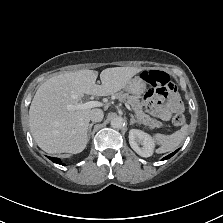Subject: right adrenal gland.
I'll list each match as a JSON object with an SVG mask.
<instances>
[{
    "label": "right adrenal gland",
    "instance_id": "1",
    "mask_svg": "<svg viewBox=\"0 0 223 223\" xmlns=\"http://www.w3.org/2000/svg\"><path fill=\"white\" fill-rule=\"evenodd\" d=\"M96 122H92L90 125H89V128H88V134H87V140L89 141L90 139V135H91V131H92V126L95 124Z\"/></svg>",
    "mask_w": 223,
    "mask_h": 223
}]
</instances>
